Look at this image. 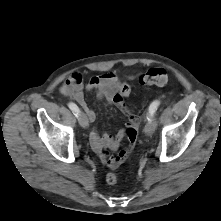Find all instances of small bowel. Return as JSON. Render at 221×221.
<instances>
[{"label":"small bowel","instance_id":"obj_1","mask_svg":"<svg viewBox=\"0 0 221 221\" xmlns=\"http://www.w3.org/2000/svg\"><path fill=\"white\" fill-rule=\"evenodd\" d=\"M124 83L115 73L108 72L100 76L92 77L85 85L86 90L96 91L97 97L108 104H114L115 95L119 92ZM83 78L80 73L71 74L62 84L60 91L65 96L73 98L85 111L91 123L96 120L95 111L88 105L83 93ZM136 115L128 113L127 127L137 122ZM126 130L121 129L115 135L101 134L95 127L91 128L89 141L92 149L103 163L107 165V160L113 156L110 152L116 151L125 136Z\"/></svg>","mask_w":221,"mask_h":221}]
</instances>
